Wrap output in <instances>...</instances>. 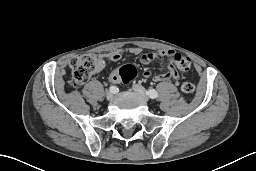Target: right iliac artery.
<instances>
[{"instance_id":"right-iliac-artery-1","label":"right iliac artery","mask_w":256,"mask_h":171,"mask_svg":"<svg viewBox=\"0 0 256 171\" xmlns=\"http://www.w3.org/2000/svg\"><path fill=\"white\" fill-rule=\"evenodd\" d=\"M110 91L113 92V93H115V92L117 91V88H116L115 86H111V87H110Z\"/></svg>"}]
</instances>
